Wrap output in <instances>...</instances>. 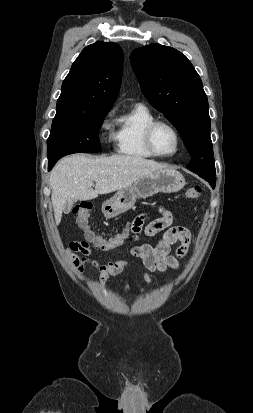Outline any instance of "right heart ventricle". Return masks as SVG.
<instances>
[{
  "label": "right heart ventricle",
  "mask_w": 253,
  "mask_h": 413,
  "mask_svg": "<svg viewBox=\"0 0 253 413\" xmlns=\"http://www.w3.org/2000/svg\"><path fill=\"white\" fill-rule=\"evenodd\" d=\"M155 120L153 113L143 105H136L118 120L115 133L116 150L119 154L135 158L147 159L153 155L144 143V130Z\"/></svg>",
  "instance_id": "1"
}]
</instances>
